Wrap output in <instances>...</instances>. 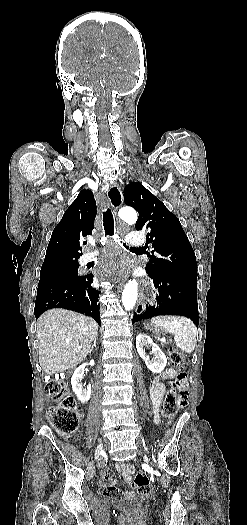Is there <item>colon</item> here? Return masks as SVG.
<instances>
[{"label":"colon","instance_id":"5ec220e1","mask_svg":"<svg viewBox=\"0 0 247 525\" xmlns=\"http://www.w3.org/2000/svg\"><path fill=\"white\" fill-rule=\"evenodd\" d=\"M171 365L182 370L184 360L177 348L170 352ZM189 376L181 371L174 380L173 388L166 394L163 404V415L166 419H173L177 412L184 408L188 399ZM47 395L61 404H52L46 410L48 422L65 437L74 434L79 424L77 406L68 392L67 386L59 381H52L46 386ZM135 485L141 495L150 496L152 485L148 476L143 472L135 474Z\"/></svg>","mask_w":247,"mask_h":525}]
</instances>
